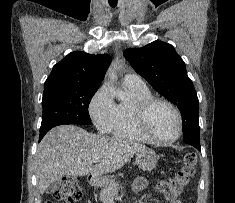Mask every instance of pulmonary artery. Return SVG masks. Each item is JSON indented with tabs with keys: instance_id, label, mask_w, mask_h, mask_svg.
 <instances>
[{
	"instance_id": "1",
	"label": "pulmonary artery",
	"mask_w": 235,
	"mask_h": 203,
	"mask_svg": "<svg viewBox=\"0 0 235 203\" xmlns=\"http://www.w3.org/2000/svg\"><path fill=\"white\" fill-rule=\"evenodd\" d=\"M123 82L124 84L130 85V86H135V87H140V88L146 87V84L144 83L142 78L139 75L134 74V73L126 74L124 76Z\"/></svg>"
}]
</instances>
